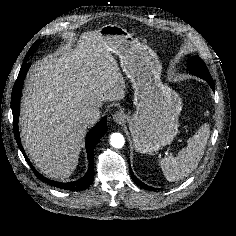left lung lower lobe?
I'll list each match as a JSON object with an SVG mask.
<instances>
[{
	"label": "left lung lower lobe",
	"instance_id": "left-lung-lower-lobe-1",
	"mask_svg": "<svg viewBox=\"0 0 236 236\" xmlns=\"http://www.w3.org/2000/svg\"><path fill=\"white\" fill-rule=\"evenodd\" d=\"M203 78L204 80H206L208 82V84L211 86L212 90L214 91L215 88H214V82H213V79L211 77H201ZM131 175H132V178L133 180L138 184L140 185L141 187L147 189V190H154L153 187H150V186H147L145 185L144 183H142L139 179L136 178V176L133 174L132 170H131Z\"/></svg>",
	"mask_w": 236,
	"mask_h": 236
}]
</instances>
